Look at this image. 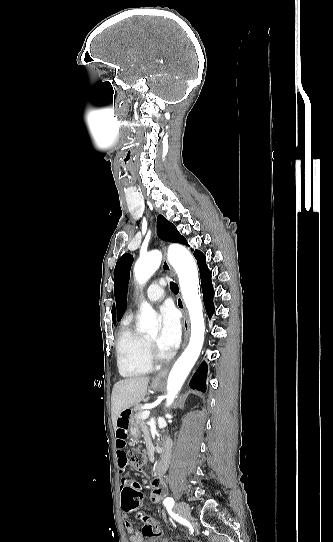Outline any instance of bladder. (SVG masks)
<instances>
[{
  "instance_id": "obj_1",
  "label": "bladder",
  "mask_w": 333,
  "mask_h": 542,
  "mask_svg": "<svg viewBox=\"0 0 333 542\" xmlns=\"http://www.w3.org/2000/svg\"><path fill=\"white\" fill-rule=\"evenodd\" d=\"M143 542H174V541H171L167 538H154V537H149V538H144L143 539Z\"/></svg>"
}]
</instances>
